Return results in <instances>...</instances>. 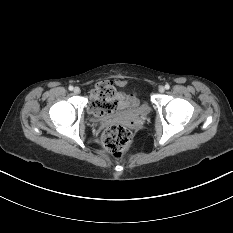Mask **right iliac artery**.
Returning <instances> with one entry per match:
<instances>
[{
  "mask_svg": "<svg viewBox=\"0 0 233 233\" xmlns=\"http://www.w3.org/2000/svg\"><path fill=\"white\" fill-rule=\"evenodd\" d=\"M70 91H72L73 90V86H69V88H68Z\"/></svg>",
  "mask_w": 233,
  "mask_h": 233,
  "instance_id": "obj_1",
  "label": "right iliac artery"
}]
</instances>
